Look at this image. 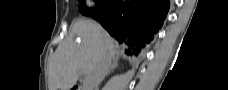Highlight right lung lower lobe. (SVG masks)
<instances>
[{
  "instance_id": "obj_1",
  "label": "right lung lower lobe",
  "mask_w": 228,
  "mask_h": 90,
  "mask_svg": "<svg viewBox=\"0 0 228 90\" xmlns=\"http://www.w3.org/2000/svg\"><path fill=\"white\" fill-rule=\"evenodd\" d=\"M91 15L121 44L127 55L137 56L153 39L167 15L168 0H106Z\"/></svg>"
}]
</instances>
